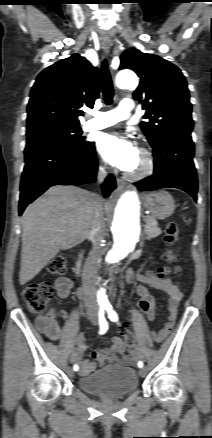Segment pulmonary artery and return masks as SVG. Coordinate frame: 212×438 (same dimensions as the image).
<instances>
[{
	"instance_id": "1",
	"label": "pulmonary artery",
	"mask_w": 212,
	"mask_h": 438,
	"mask_svg": "<svg viewBox=\"0 0 212 438\" xmlns=\"http://www.w3.org/2000/svg\"><path fill=\"white\" fill-rule=\"evenodd\" d=\"M135 112L132 100L124 99L115 109L101 111L84 125L85 131L100 130L125 120Z\"/></svg>"
}]
</instances>
